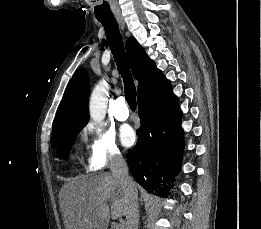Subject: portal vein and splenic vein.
Here are the masks:
<instances>
[{
    "mask_svg": "<svg viewBox=\"0 0 261 229\" xmlns=\"http://www.w3.org/2000/svg\"><path fill=\"white\" fill-rule=\"evenodd\" d=\"M117 229H123V225H118Z\"/></svg>",
    "mask_w": 261,
    "mask_h": 229,
    "instance_id": "1",
    "label": "portal vein and splenic vein"
}]
</instances>
